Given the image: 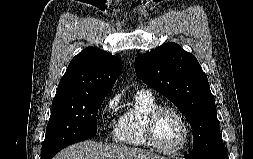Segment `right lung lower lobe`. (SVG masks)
Wrapping results in <instances>:
<instances>
[{
    "instance_id": "obj_1",
    "label": "right lung lower lobe",
    "mask_w": 253,
    "mask_h": 159,
    "mask_svg": "<svg viewBox=\"0 0 253 159\" xmlns=\"http://www.w3.org/2000/svg\"><path fill=\"white\" fill-rule=\"evenodd\" d=\"M81 141H82V140H81ZM77 142H79V141H77ZM75 143H76V142H75ZM60 150H61V149H60ZM60 150H59V151H60ZM56 153H57V152H56ZM56 153H55V154H56ZM55 154H53L49 159H51Z\"/></svg>"
}]
</instances>
